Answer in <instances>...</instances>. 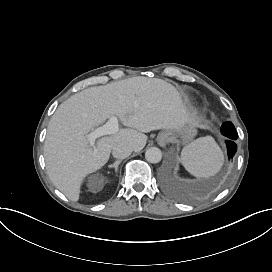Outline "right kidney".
<instances>
[{
  "instance_id": "right-kidney-1",
  "label": "right kidney",
  "mask_w": 272,
  "mask_h": 272,
  "mask_svg": "<svg viewBox=\"0 0 272 272\" xmlns=\"http://www.w3.org/2000/svg\"><path fill=\"white\" fill-rule=\"evenodd\" d=\"M98 183H99V184H102V183H103V178H102V177L98 180Z\"/></svg>"
}]
</instances>
